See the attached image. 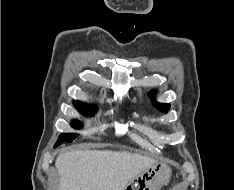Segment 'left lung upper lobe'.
Segmentation results:
<instances>
[{
  "mask_svg": "<svg viewBox=\"0 0 234 190\" xmlns=\"http://www.w3.org/2000/svg\"><path fill=\"white\" fill-rule=\"evenodd\" d=\"M154 91L151 92L149 94L150 97H152L154 95ZM153 103L155 104V106H157L158 108H160L161 110L165 111V112H168V110L170 109V105L169 104H160V103H157L153 100Z\"/></svg>",
  "mask_w": 234,
  "mask_h": 190,
  "instance_id": "5c2ea615",
  "label": "left lung upper lobe"
}]
</instances>
